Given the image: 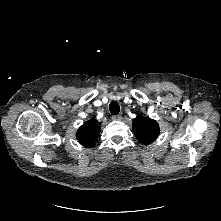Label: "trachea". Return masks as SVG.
Instances as JSON below:
<instances>
[{"instance_id": "1", "label": "trachea", "mask_w": 221, "mask_h": 221, "mask_svg": "<svg viewBox=\"0 0 221 221\" xmlns=\"http://www.w3.org/2000/svg\"><path fill=\"white\" fill-rule=\"evenodd\" d=\"M109 110L111 114L117 115L120 112V106L116 101H113L109 104Z\"/></svg>"}]
</instances>
